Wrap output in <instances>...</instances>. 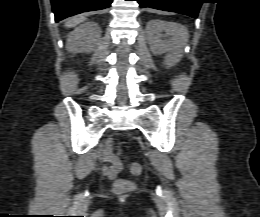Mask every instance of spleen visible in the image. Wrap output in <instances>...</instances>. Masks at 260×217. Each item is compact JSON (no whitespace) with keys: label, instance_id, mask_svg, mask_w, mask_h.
<instances>
[{"label":"spleen","instance_id":"3e777b00","mask_svg":"<svg viewBox=\"0 0 260 217\" xmlns=\"http://www.w3.org/2000/svg\"><path fill=\"white\" fill-rule=\"evenodd\" d=\"M180 32H181V34H183V36L185 37V31L184 30H182V29H180Z\"/></svg>","mask_w":260,"mask_h":217}]
</instances>
